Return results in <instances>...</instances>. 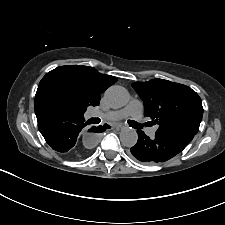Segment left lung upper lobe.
<instances>
[{
	"instance_id": "1",
	"label": "left lung upper lobe",
	"mask_w": 225,
	"mask_h": 225,
	"mask_svg": "<svg viewBox=\"0 0 225 225\" xmlns=\"http://www.w3.org/2000/svg\"><path fill=\"white\" fill-rule=\"evenodd\" d=\"M132 87L144 101V115L159 125L156 134H197L203 107L200 97L190 87L163 79L135 82Z\"/></svg>"
}]
</instances>
